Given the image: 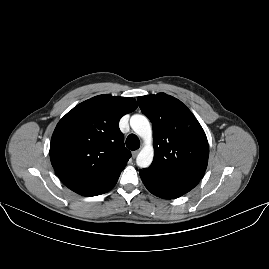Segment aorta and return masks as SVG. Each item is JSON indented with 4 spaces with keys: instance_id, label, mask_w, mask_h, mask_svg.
Instances as JSON below:
<instances>
[{
    "instance_id": "aorta-1",
    "label": "aorta",
    "mask_w": 269,
    "mask_h": 269,
    "mask_svg": "<svg viewBox=\"0 0 269 269\" xmlns=\"http://www.w3.org/2000/svg\"><path fill=\"white\" fill-rule=\"evenodd\" d=\"M130 126L133 131L144 140V147L136 157V163L140 168H147L153 161L152 128L146 116L135 114L130 118Z\"/></svg>"
}]
</instances>
